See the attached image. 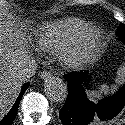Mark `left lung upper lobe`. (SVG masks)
I'll return each instance as SVG.
<instances>
[{"label":"left lung upper lobe","mask_w":125,"mask_h":125,"mask_svg":"<svg viewBox=\"0 0 125 125\" xmlns=\"http://www.w3.org/2000/svg\"><path fill=\"white\" fill-rule=\"evenodd\" d=\"M117 33L120 36V38L125 41V25L124 24L121 23L119 25Z\"/></svg>","instance_id":"1"}]
</instances>
